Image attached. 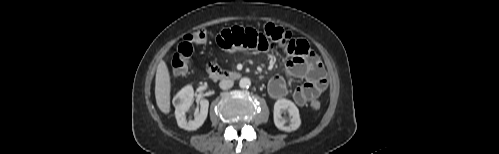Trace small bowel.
<instances>
[{"instance_id": "c3829d8e", "label": "small bowel", "mask_w": 499, "mask_h": 154, "mask_svg": "<svg viewBox=\"0 0 499 154\" xmlns=\"http://www.w3.org/2000/svg\"><path fill=\"white\" fill-rule=\"evenodd\" d=\"M216 41L220 48L230 52L239 50L285 52L289 56L286 74L291 78L305 80L292 94L293 101L300 107L318 99L328 87L324 67L305 40L291 36L286 43L279 44L256 29L232 27L221 31ZM268 91L276 100L286 97L288 94L286 78L281 75L273 76L268 83Z\"/></svg>"}]
</instances>
